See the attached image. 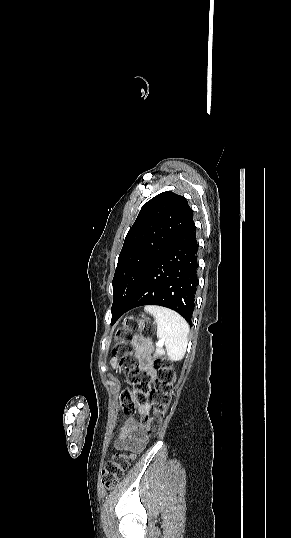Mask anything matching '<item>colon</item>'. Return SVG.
Masks as SVG:
<instances>
[{
	"mask_svg": "<svg viewBox=\"0 0 291 538\" xmlns=\"http://www.w3.org/2000/svg\"><path fill=\"white\" fill-rule=\"evenodd\" d=\"M131 330L121 333L125 341L116 346L114 356L119 360L120 369L126 373L132 385L131 390L120 394V410L125 415L135 413L137 407L144 405L148 398L152 401L151 415L141 418V425L148 436L154 437L159 433L161 419L165 415L171 401V387L175 380L173 368L160 358H155L153 367L156 372L155 382L152 385L148 373L143 367L140 355L132 352L128 340L133 337L132 330L138 331L141 336L148 337L154 332L153 323L147 318L135 319L129 322ZM127 469L126 455L116 453L106 462L102 483L107 488L115 487Z\"/></svg>",
	"mask_w": 291,
	"mask_h": 538,
	"instance_id": "5ec220e1",
	"label": "colon"
}]
</instances>
